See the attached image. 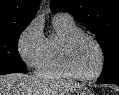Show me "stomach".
I'll return each mask as SVG.
<instances>
[{"mask_svg":"<svg viewBox=\"0 0 119 95\" xmlns=\"http://www.w3.org/2000/svg\"><path fill=\"white\" fill-rule=\"evenodd\" d=\"M66 95H94L90 90L84 87H78L73 90H71Z\"/></svg>","mask_w":119,"mask_h":95,"instance_id":"1","label":"stomach"}]
</instances>
